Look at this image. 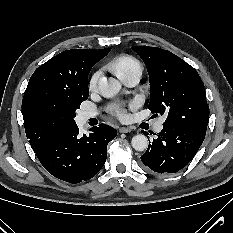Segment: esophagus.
Segmentation results:
<instances>
[{
	"label": "esophagus",
	"instance_id": "1",
	"mask_svg": "<svg viewBox=\"0 0 233 233\" xmlns=\"http://www.w3.org/2000/svg\"><path fill=\"white\" fill-rule=\"evenodd\" d=\"M131 131H132L131 127H125V126H123V127L119 128V132L120 133H130Z\"/></svg>",
	"mask_w": 233,
	"mask_h": 233
}]
</instances>
